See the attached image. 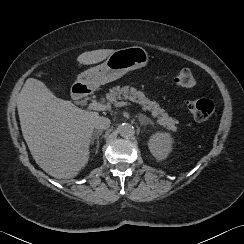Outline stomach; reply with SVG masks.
<instances>
[{"label": "stomach", "instance_id": "1", "mask_svg": "<svg viewBox=\"0 0 244 244\" xmlns=\"http://www.w3.org/2000/svg\"><path fill=\"white\" fill-rule=\"evenodd\" d=\"M148 61L147 51L140 46L118 49L101 65L91 67L79 74L73 86L82 84L90 88H98L100 85L121 78L129 71L145 67Z\"/></svg>", "mask_w": 244, "mask_h": 244}]
</instances>
